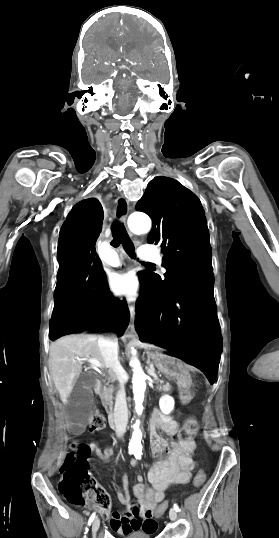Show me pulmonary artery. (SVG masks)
<instances>
[{"instance_id":"1","label":"pulmonary artery","mask_w":279,"mask_h":538,"mask_svg":"<svg viewBox=\"0 0 279 538\" xmlns=\"http://www.w3.org/2000/svg\"><path fill=\"white\" fill-rule=\"evenodd\" d=\"M122 254L120 252H113L104 258L103 264L106 267L118 266L122 262Z\"/></svg>"}]
</instances>
